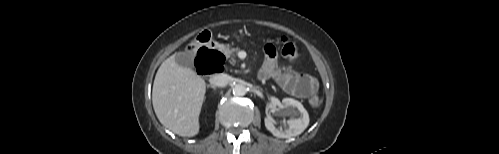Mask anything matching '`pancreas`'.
Listing matches in <instances>:
<instances>
[{
	"instance_id": "pancreas-1",
	"label": "pancreas",
	"mask_w": 499,
	"mask_h": 154,
	"mask_svg": "<svg viewBox=\"0 0 499 154\" xmlns=\"http://www.w3.org/2000/svg\"><path fill=\"white\" fill-rule=\"evenodd\" d=\"M221 50L226 58L230 59L229 61L231 64L235 63V59L232 56H234L239 51L238 48H230L228 45H222Z\"/></svg>"
}]
</instances>
